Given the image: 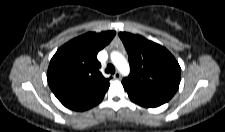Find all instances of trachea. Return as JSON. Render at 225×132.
<instances>
[{
	"label": "trachea",
	"mask_w": 225,
	"mask_h": 132,
	"mask_svg": "<svg viewBox=\"0 0 225 132\" xmlns=\"http://www.w3.org/2000/svg\"><path fill=\"white\" fill-rule=\"evenodd\" d=\"M106 72L110 73V74H114L115 73V67L112 64H108L107 68H106Z\"/></svg>",
	"instance_id": "1"
}]
</instances>
